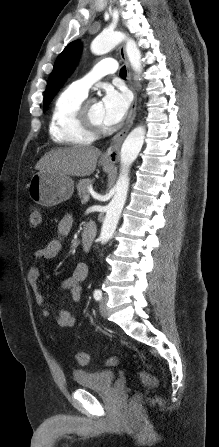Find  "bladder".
Segmentation results:
<instances>
[{
	"label": "bladder",
	"mask_w": 219,
	"mask_h": 447,
	"mask_svg": "<svg viewBox=\"0 0 219 447\" xmlns=\"http://www.w3.org/2000/svg\"><path fill=\"white\" fill-rule=\"evenodd\" d=\"M72 377L74 382L81 389L90 391H105L113 387L116 380V373L111 370H74L72 372Z\"/></svg>",
	"instance_id": "1"
}]
</instances>
